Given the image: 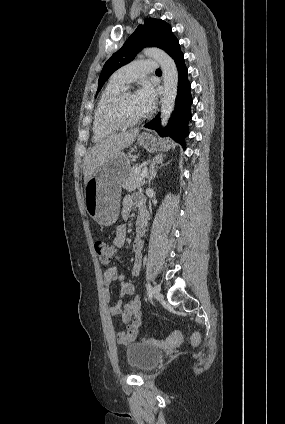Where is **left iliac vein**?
<instances>
[{"label": "left iliac vein", "instance_id": "obj_1", "mask_svg": "<svg viewBox=\"0 0 285 424\" xmlns=\"http://www.w3.org/2000/svg\"><path fill=\"white\" fill-rule=\"evenodd\" d=\"M153 291H154V296L157 300H159V301L163 300V295L160 292L159 285H155Z\"/></svg>", "mask_w": 285, "mask_h": 424}]
</instances>
